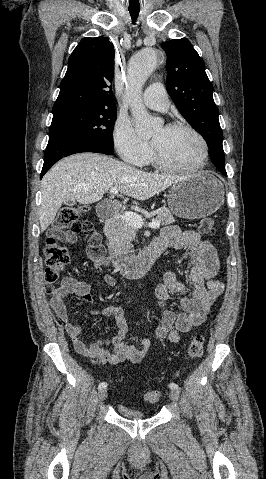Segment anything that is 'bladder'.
I'll use <instances>...</instances> for the list:
<instances>
[{
    "label": "bladder",
    "instance_id": "obj_1",
    "mask_svg": "<svg viewBox=\"0 0 266 479\" xmlns=\"http://www.w3.org/2000/svg\"><path fill=\"white\" fill-rule=\"evenodd\" d=\"M117 409L120 416L125 418H136V419L146 418L145 413H143L142 411L133 410L124 403H119L117 405Z\"/></svg>",
    "mask_w": 266,
    "mask_h": 479
}]
</instances>
